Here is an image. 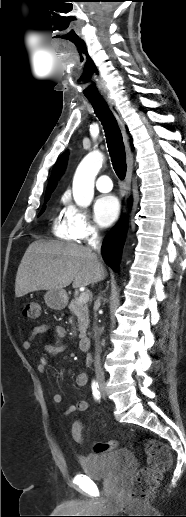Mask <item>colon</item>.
Returning <instances> with one entry per match:
<instances>
[{
    "instance_id": "1",
    "label": "colon",
    "mask_w": 186,
    "mask_h": 517,
    "mask_svg": "<svg viewBox=\"0 0 186 517\" xmlns=\"http://www.w3.org/2000/svg\"><path fill=\"white\" fill-rule=\"evenodd\" d=\"M24 317L32 320L39 319L41 307L38 302H29L23 309ZM82 424L73 427V438L77 442L83 441L81 434ZM145 451L148 455V465L140 469L129 484L128 497L131 500H142L157 487L161 475L167 471L172 462L169 448L159 440L146 439L143 441ZM117 446L114 440L99 442L94 450L97 453L105 452Z\"/></svg>"
}]
</instances>
